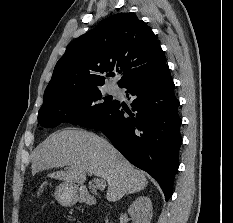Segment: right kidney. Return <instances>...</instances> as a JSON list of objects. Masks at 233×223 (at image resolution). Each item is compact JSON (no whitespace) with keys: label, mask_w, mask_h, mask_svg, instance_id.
Instances as JSON below:
<instances>
[{"label":"right kidney","mask_w":233,"mask_h":223,"mask_svg":"<svg viewBox=\"0 0 233 223\" xmlns=\"http://www.w3.org/2000/svg\"><path fill=\"white\" fill-rule=\"evenodd\" d=\"M152 201L147 195L137 197L130 207L128 213L132 219V223H151L153 211Z\"/></svg>","instance_id":"right-kidney-1"}]
</instances>
